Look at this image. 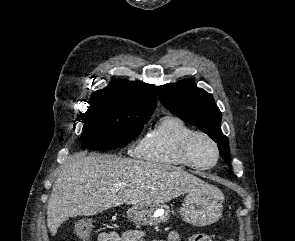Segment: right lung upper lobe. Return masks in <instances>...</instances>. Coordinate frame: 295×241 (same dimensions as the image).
Listing matches in <instances>:
<instances>
[{
	"label": "right lung upper lobe",
	"mask_w": 295,
	"mask_h": 241,
	"mask_svg": "<svg viewBox=\"0 0 295 241\" xmlns=\"http://www.w3.org/2000/svg\"><path fill=\"white\" fill-rule=\"evenodd\" d=\"M92 95H105L123 102L126 105L153 113L157 98L153 85L138 81L118 79L112 81L103 90H98Z\"/></svg>",
	"instance_id": "cb5924a9"
}]
</instances>
